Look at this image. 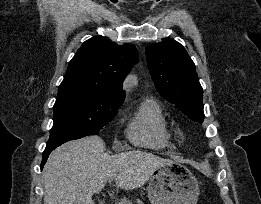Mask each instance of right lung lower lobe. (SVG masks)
Segmentation results:
<instances>
[{"instance_id": "obj_1", "label": "right lung lower lobe", "mask_w": 261, "mask_h": 204, "mask_svg": "<svg viewBox=\"0 0 261 204\" xmlns=\"http://www.w3.org/2000/svg\"><path fill=\"white\" fill-rule=\"evenodd\" d=\"M63 143H56V144H51V145H47L44 152H43V158H42V163H41V169H43V166L45 164V162L48 159L49 154L58 146H60Z\"/></svg>"}]
</instances>
